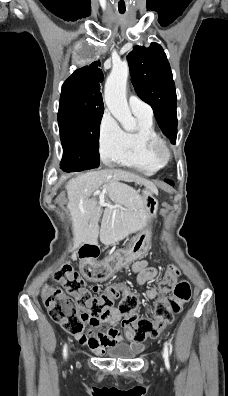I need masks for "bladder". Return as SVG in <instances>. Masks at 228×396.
<instances>
[{
    "label": "bladder",
    "mask_w": 228,
    "mask_h": 396,
    "mask_svg": "<svg viewBox=\"0 0 228 396\" xmlns=\"http://www.w3.org/2000/svg\"><path fill=\"white\" fill-rule=\"evenodd\" d=\"M108 357L115 359L130 360L137 356L138 351L128 344H117L108 347L105 351Z\"/></svg>",
    "instance_id": "obj_1"
}]
</instances>
